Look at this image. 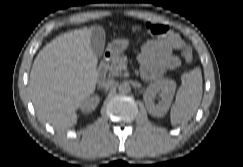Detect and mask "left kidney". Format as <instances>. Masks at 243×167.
<instances>
[{
	"mask_svg": "<svg viewBox=\"0 0 243 167\" xmlns=\"http://www.w3.org/2000/svg\"><path fill=\"white\" fill-rule=\"evenodd\" d=\"M176 83L172 80H163L151 83L143 94V99L149 114L156 117L164 116L173 100ZM161 93V101L154 104L153 98L156 93Z\"/></svg>",
	"mask_w": 243,
	"mask_h": 167,
	"instance_id": "obj_1",
	"label": "left kidney"
}]
</instances>
